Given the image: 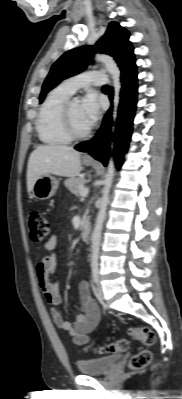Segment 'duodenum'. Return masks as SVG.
Returning <instances> with one entry per match:
<instances>
[{"mask_svg":"<svg viewBox=\"0 0 182 399\" xmlns=\"http://www.w3.org/2000/svg\"><path fill=\"white\" fill-rule=\"evenodd\" d=\"M90 233H91V223L90 221H87L81 228L82 240L87 241L90 238Z\"/></svg>","mask_w":182,"mask_h":399,"instance_id":"1","label":"duodenum"}]
</instances>
